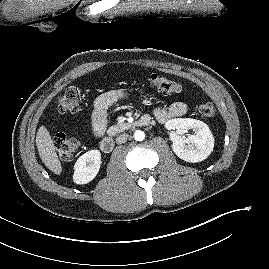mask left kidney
Masks as SVG:
<instances>
[{"instance_id": "left-kidney-1", "label": "left kidney", "mask_w": 269, "mask_h": 269, "mask_svg": "<svg viewBox=\"0 0 269 269\" xmlns=\"http://www.w3.org/2000/svg\"><path fill=\"white\" fill-rule=\"evenodd\" d=\"M168 130H176L170 133L173 141L174 153L186 162L196 163L205 160L213 151L214 138L209 127L202 121L191 118H177L166 122ZM193 130V135L181 136Z\"/></svg>"}]
</instances>
